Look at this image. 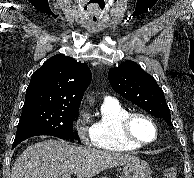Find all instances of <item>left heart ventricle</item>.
Here are the masks:
<instances>
[{
    "mask_svg": "<svg viewBox=\"0 0 194 178\" xmlns=\"http://www.w3.org/2000/svg\"><path fill=\"white\" fill-rule=\"evenodd\" d=\"M133 135L141 141H151L155 136L153 126L143 118H136L131 126Z\"/></svg>",
    "mask_w": 194,
    "mask_h": 178,
    "instance_id": "b2bd125f",
    "label": "left heart ventricle"
}]
</instances>
